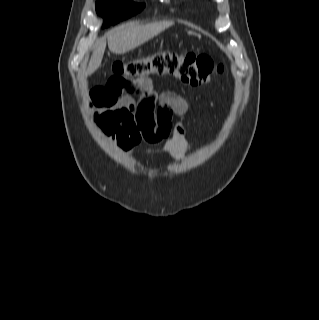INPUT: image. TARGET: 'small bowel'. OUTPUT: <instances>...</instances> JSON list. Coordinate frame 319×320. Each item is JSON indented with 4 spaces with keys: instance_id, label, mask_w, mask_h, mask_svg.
<instances>
[{
    "instance_id": "c3829d8e",
    "label": "small bowel",
    "mask_w": 319,
    "mask_h": 320,
    "mask_svg": "<svg viewBox=\"0 0 319 320\" xmlns=\"http://www.w3.org/2000/svg\"><path fill=\"white\" fill-rule=\"evenodd\" d=\"M140 93L136 101L133 94ZM89 98L94 106V123L109 140L120 149L132 152V144L121 129L126 115H151L161 125L171 128V137L161 148L145 150L150 155H167L175 162H182L189 147L183 118L186 111L185 101L172 91L158 93L150 80L136 85L118 87L109 84L107 87L93 88ZM179 120L173 122V117Z\"/></svg>"
}]
</instances>
